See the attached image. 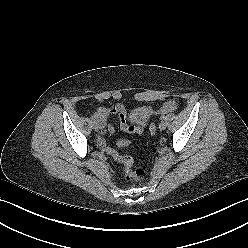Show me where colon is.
<instances>
[{"label":"colon","instance_id":"obj_1","mask_svg":"<svg viewBox=\"0 0 248 248\" xmlns=\"http://www.w3.org/2000/svg\"><path fill=\"white\" fill-rule=\"evenodd\" d=\"M149 131L151 134H155L157 131L156 125L151 123L149 126ZM119 147H127L130 142L127 139H119L118 140ZM107 153L118 163L123 166V172L127 180L129 181H143L146 177V171L142 168H134L133 167V159L131 156L122 155L114 148H107Z\"/></svg>","mask_w":248,"mask_h":248}]
</instances>
